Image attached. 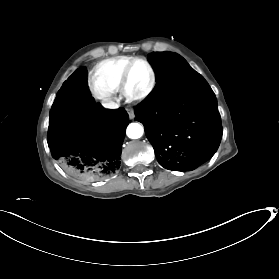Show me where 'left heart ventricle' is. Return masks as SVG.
Masks as SVG:
<instances>
[{
    "instance_id": "b2bd125f",
    "label": "left heart ventricle",
    "mask_w": 279,
    "mask_h": 279,
    "mask_svg": "<svg viewBox=\"0 0 279 279\" xmlns=\"http://www.w3.org/2000/svg\"><path fill=\"white\" fill-rule=\"evenodd\" d=\"M151 75L148 67L142 62L132 65L128 78V88L132 94H140L149 86Z\"/></svg>"
}]
</instances>
